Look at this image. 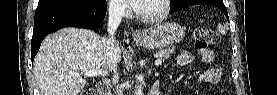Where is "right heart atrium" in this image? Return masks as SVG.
Listing matches in <instances>:
<instances>
[{"label":"right heart atrium","mask_w":277,"mask_h":95,"mask_svg":"<svg viewBox=\"0 0 277 95\" xmlns=\"http://www.w3.org/2000/svg\"><path fill=\"white\" fill-rule=\"evenodd\" d=\"M110 7V14L113 18H122L126 15L125 6L117 0H111L108 2Z\"/></svg>","instance_id":"1"}]
</instances>
